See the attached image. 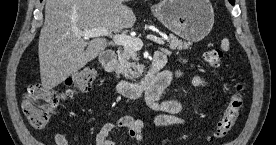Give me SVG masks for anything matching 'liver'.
Masks as SVG:
<instances>
[{
	"label": "liver",
	"mask_w": 276,
	"mask_h": 145,
	"mask_svg": "<svg viewBox=\"0 0 276 145\" xmlns=\"http://www.w3.org/2000/svg\"><path fill=\"white\" fill-rule=\"evenodd\" d=\"M125 0H47L38 55L40 77L50 90L83 68L107 47V40L86 41L77 31L105 28L120 33L136 22Z\"/></svg>",
	"instance_id": "obj_1"
}]
</instances>
